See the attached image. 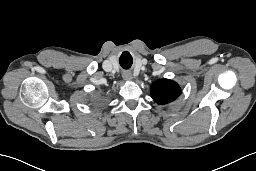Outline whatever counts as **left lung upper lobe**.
I'll return each mask as SVG.
<instances>
[{
  "instance_id": "5c2ea615",
  "label": "left lung upper lobe",
  "mask_w": 256,
  "mask_h": 171,
  "mask_svg": "<svg viewBox=\"0 0 256 171\" xmlns=\"http://www.w3.org/2000/svg\"><path fill=\"white\" fill-rule=\"evenodd\" d=\"M151 97L158 104H167L174 101L180 94L179 85L169 79H159L151 85Z\"/></svg>"
}]
</instances>
